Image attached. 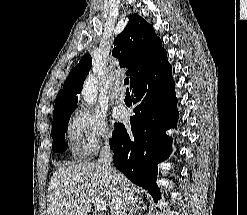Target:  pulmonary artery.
<instances>
[{"instance_id": "pulmonary-artery-1", "label": "pulmonary artery", "mask_w": 247, "mask_h": 215, "mask_svg": "<svg viewBox=\"0 0 247 215\" xmlns=\"http://www.w3.org/2000/svg\"><path fill=\"white\" fill-rule=\"evenodd\" d=\"M113 98L117 100H123L125 98V92L120 84H116L112 90Z\"/></svg>"}]
</instances>
